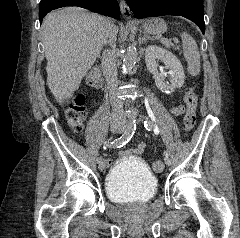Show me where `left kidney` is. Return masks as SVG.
<instances>
[{"mask_svg": "<svg viewBox=\"0 0 240 238\" xmlns=\"http://www.w3.org/2000/svg\"><path fill=\"white\" fill-rule=\"evenodd\" d=\"M157 60L163 61L169 70L170 84L165 83L164 76L158 72ZM145 63L148 71L153 74L156 86L162 92L171 93L183 86L185 79L183 66L171 52L156 45H149L145 50Z\"/></svg>", "mask_w": 240, "mask_h": 238, "instance_id": "5707ae66", "label": "left kidney"}]
</instances>
